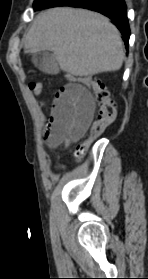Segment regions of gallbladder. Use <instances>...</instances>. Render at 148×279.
Listing matches in <instances>:
<instances>
[{"label": "gallbladder", "instance_id": "obj_1", "mask_svg": "<svg viewBox=\"0 0 148 279\" xmlns=\"http://www.w3.org/2000/svg\"><path fill=\"white\" fill-rule=\"evenodd\" d=\"M36 68L45 74L56 75L59 73V65L53 54L47 51H39L34 53L31 58Z\"/></svg>", "mask_w": 148, "mask_h": 279}]
</instances>
